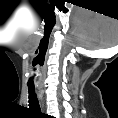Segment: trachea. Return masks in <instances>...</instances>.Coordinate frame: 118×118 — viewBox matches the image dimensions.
<instances>
[{"instance_id":"3493384b","label":"trachea","mask_w":118,"mask_h":118,"mask_svg":"<svg viewBox=\"0 0 118 118\" xmlns=\"http://www.w3.org/2000/svg\"><path fill=\"white\" fill-rule=\"evenodd\" d=\"M29 105L34 110L40 111V106H39V102H38L36 93H35L34 89H32V88H29Z\"/></svg>"}]
</instances>
